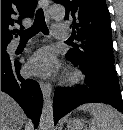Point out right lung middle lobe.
Listing matches in <instances>:
<instances>
[{"label":"right lung middle lobe","instance_id":"1","mask_svg":"<svg viewBox=\"0 0 123 130\" xmlns=\"http://www.w3.org/2000/svg\"><path fill=\"white\" fill-rule=\"evenodd\" d=\"M8 44H1V54H7L6 47Z\"/></svg>","mask_w":123,"mask_h":130}]
</instances>
